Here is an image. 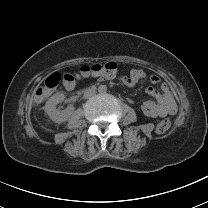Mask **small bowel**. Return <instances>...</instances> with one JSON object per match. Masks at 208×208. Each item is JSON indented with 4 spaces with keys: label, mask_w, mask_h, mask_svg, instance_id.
<instances>
[{
    "label": "small bowel",
    "mask_w": 208,
    "mask_h": 208,
    "mask_svg": "<svg viewBox=\"0 0 208 208\" xmlns=\"http://www.w3.org/2000/svg\"><path fill=\"white\" fill-rule=\"evenodd\" d=\"M105 80L115 81L116 75L112 73L100 74L98 76L99 82ZM122 82L129 87L135 86L141 80H149L154 84H160L161 91L153 88L146 90V94L155 97L156 101L146 100L140 108L143 114L150 118L166 117L174 115L177 112V104L173 98L172 92L168 84L161 80L156 74L147 75L139 69H132L127 76L122 77ZM68 90L73 89L74 85H65Z\"/></svg>",
    "instance_id": "small-bowel-1"
}]
</instances>
